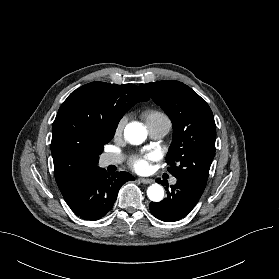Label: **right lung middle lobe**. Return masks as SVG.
<instances>
[{
	"label": "right lung middle lobe",
	"instance_id": "dd1d6c3e",
	"mask_svg": "<svg viewBox=\"0 0 279 279\" xmlns=\"http://www.w3.org/2000/svg\"><path fill=\"white\" fill-rule=\"evenodd\" d=\"M111 139H112V137L109 138L106 142H104L103 144H101V145L98 147V150H97L98 154H101V153H102V151H103V149H104V144L108 143Z\"/></svg>",
	"mask_w": 279,
	"mask_h": 279
}]
</instances>
